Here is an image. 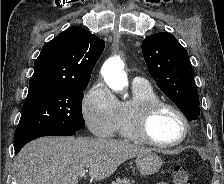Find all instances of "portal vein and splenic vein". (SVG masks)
I'll use <instances>...</instances> for the list:
<instances>
[{
    "label": "portal vein and splenic vein",
    "mask_w": 224,
    "mask_h": 184,
    "mask_svg": "<svg viewBox=\"0 0 224 184\" xmlns=\"http://www.w3.org/2000/svg\"><path fill=\"white\" fill-rule=\"evenodd\" d=\"M88 172V170H81L80 172H79V176L80 177H84L85 176V174Z\"/></svg>",
    "instance_id": "18ae733b"
}]
</instances>
